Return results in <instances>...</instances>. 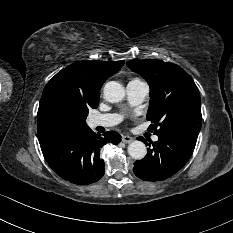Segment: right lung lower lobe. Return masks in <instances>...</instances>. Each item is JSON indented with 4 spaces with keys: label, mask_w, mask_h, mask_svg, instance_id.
<instances>
[{
    "label": "right lung lower lobe",
    "mask_w": 233,
    "mask_h": 233,
    "mask_svg": "<svg viewBox=\"0 0 233 233\" xmlns=\"http://www.w3.org/2000/svg\"><path fill=\"white\" fill-rule=\"evenodd\" d=\"M38 139L44 158L61 178L78 185L98 181L105 173L100 148L117 145L119 133L108 131L104 137L95 135L87 126L76 129L38 130Z\"/></svg>",
    "instance_id": "obj_1"
}]
</instances>
